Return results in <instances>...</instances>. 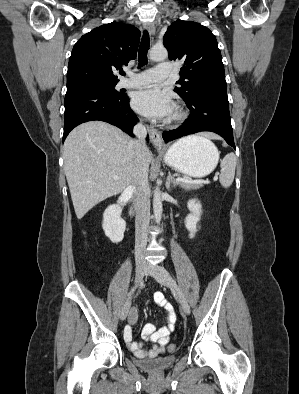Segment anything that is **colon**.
<instances>
[{
    "label": "colon",
    "mask_w": 299,
    "mask_h": 394,
    "mask_svg": "<svg viewBox=\"0 0 299 394\" xmlns=\"http://www.w3.org/2000/svg\"><path fill=\"white\" fill-rule=\"evenodd\" d=\"M174 348H175V347H174L173 345H170V346H169V350H171V351H173Z\"/></svg>",
    "instance_id": "colon-1"
}]
</instances>
